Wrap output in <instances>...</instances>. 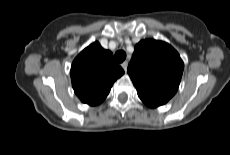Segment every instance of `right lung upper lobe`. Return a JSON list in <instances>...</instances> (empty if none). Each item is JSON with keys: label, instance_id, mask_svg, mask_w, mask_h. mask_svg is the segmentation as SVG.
I'll return each mask as SVG.
<instances>
[{"label": "right lung upper lobe", "instance_id": "obj_1", "mask_svg": "<svg viewBox=\"0 0 230 155\" xmlns=\"http://www.w3.org/2000/svg\"><path fill=\"white\" fill-rule=\"evenodd\" d=\"M123 74L113 54L99 42L90 44L74 59L70 72L75 94L90 106L103 102L113 83Z\"/></svg>", "mask_w": 230, "mask_h": 155}]
</instances>
